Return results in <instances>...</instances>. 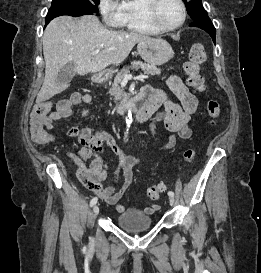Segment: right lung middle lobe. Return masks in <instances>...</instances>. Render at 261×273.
<instances>
[{"mask_svg": "<svg viewBox=\"0 0 261 273\" xmlns=\"http://www.w3.org/2000/svg\"><path fill=\"white\" fill-rule=\"evenodd\" d=\"M75 4H79L84 9L85 14L93 15V13L98 12L99 0H53L46 19L52 20L60 15L77 17Z\"/></svg>", "mask_w": 261, "mask_h": 273, "instance_id": "obj_1", "label": "right lung middle lobe"}]
</instances>
